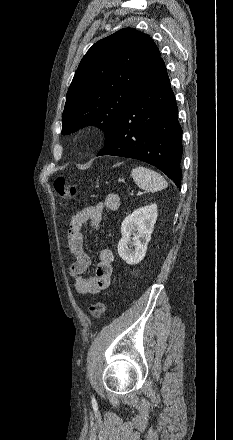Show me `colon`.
Here are the masks:
<instances>
[{
	"mask_svg": "<svg viewBox=\"0 0 233 440\" xmlns=\"http://www.w3.org/2000/svg\"><path fill=\"white\" fill-rule=\"evenodd\" d=\"M54 189L62 197H73L76 195V187L68 183L65 177L59 176L54 180ZM105 312V303L97 301L90 307V314L93 318H100Z\"/></svg>",
	"mask_w": 233,
	"mask_h": 440,
	"instance_id": "colon-1",
	"label": "colon"
}]
</instances>
